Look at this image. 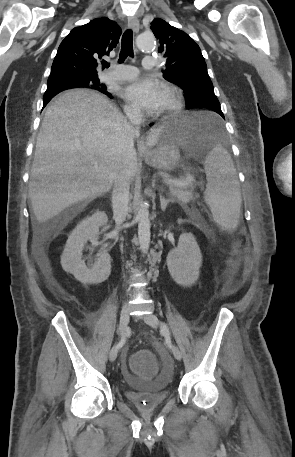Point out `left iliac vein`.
I'll list each match as a JSON object with an SVG mask.
<instances>
[{
	"instance_id": "obj_1",
	"label": "left iliac vein",
	"mask_w": 295,
	"mask_h": 457,
	"mask_svg": "<svg viewBox=\"0 0 295 457\" xmlns=\"http://www.w3.org/2000/svg\"><path fill=\"white\" fill-rule=\"evenodd\" d=\"M142 319H143L147 324H149L150 326H152L153 328H158V327H159V320H158V318H157L155 315H153V314L144 315V316L142 317ZM171 349H172V353H173L174 357H175L177 360H181L182 354H181L180 350H179L176 346H174V345H172Z\"/></svg>"
}]
</instances>
